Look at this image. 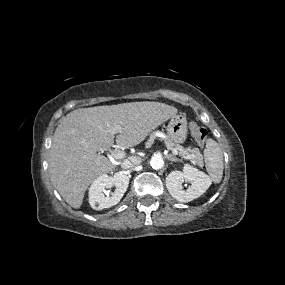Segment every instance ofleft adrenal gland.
Returning a JSON list of instances; mask_svg holds the SVG:
<instances>
[{"mask_svg": "<svg viewBox=\"0 0 285 285\" xmlns=\"http://www.w3.org/2000/svg\"><path fill=\"white\" fill-rule=\"evenodd\" d=\"M167 158H168V160L171 161V162H178V161H181V160L177 159V158H176L175 156H173V155H167Z\"/></svg>", "mask_w": 285, "mask_h": 285, "instance_id": "a2214340", "label": "left adrenal gland"}]
</instances>
